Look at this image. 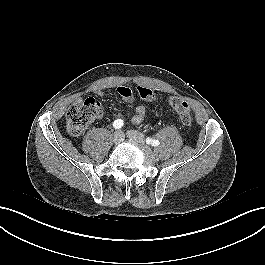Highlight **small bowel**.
Segmentation results:
<instances>
[{
  "instance_id": "small-bowel-1",
  "label": "small bowel",
  "mask_w": 265,
  "mask_h": 265,
  "mask_svg": "<svg viewBox=\"0 0 265 265\" xmlns=\"http://www.w3.org/2000/svg\"><path fill=\"white\" fill-rule=\"evenodd\" d=\"M118 92L120 96L127 102L132 103L134 101V96L130 88L128 87H119ZM99 95H102V91L97 92ZM146 115V108L143 105H138L135 110V114L132 116L131 121L134 124H140Z\"/></svg>"
}]
</instances>
